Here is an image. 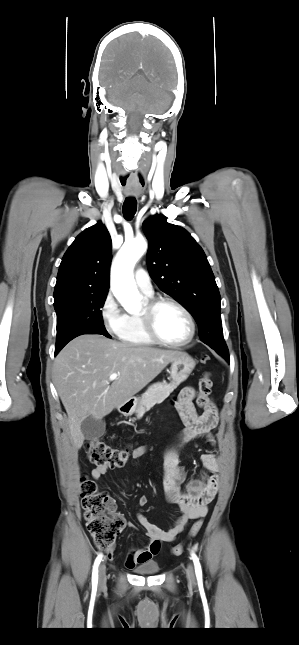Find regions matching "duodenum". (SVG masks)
Instances as JSON below:
<instances>
[{
    "label": "duodenum",
    "instance_id": "duodenum-1",
    "mask_svg": "<svg viewBox=\"0 0 299 645\" xmlns=\"http://www.w3.org/2000/svg\"><path fill=\"white\" fill-rule=\"evenodd\" d=\"M122 411H127V405L122 407Z\"/></svg>",
    "mask_w": 299,
    "mask_h": 645
}]
</instances>
